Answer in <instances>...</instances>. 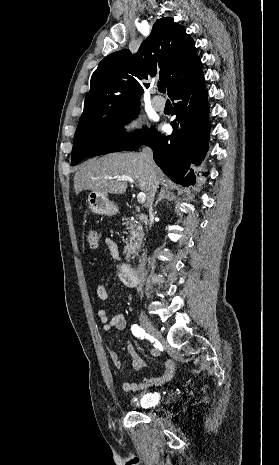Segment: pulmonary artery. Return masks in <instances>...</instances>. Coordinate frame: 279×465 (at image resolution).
<instances>
[{
	"instance_id": "pulmonary-artery-1",
	"label": "pulmonary artery",
	"mask_w": 279,
	"mask_h": 465,
	"mask_svg": "<svg viewBox=\"0 0 279 465\" xmlns=\"http://www.w3.org/2000/svg\"><path fill=\"white\" fill-rule=\"evenodd\" d=\"M152 104L156 110L162 111L165 108L166 102L162 97L155 95L152 99Z\"/></svg>"
}]
</instances>
